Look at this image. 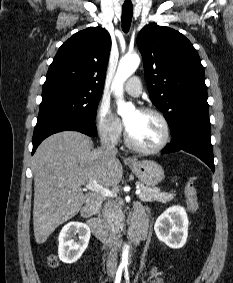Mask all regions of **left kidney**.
<instances>
[{"label":"left kidney","mask_w":233,"mask_h":283,"mask_svg":"<svg viewBox=\"0 0 233 283\" xmlns=\"http://www.w3.org/2000/svg\"><path fill=\"white\" fill-rule=\"evenodd\" d=\"M188 217L181 206H172L155 222L154 230L158 239L172 249L182 248L188 237Z\"/></svg>","instance_id":"1"}]
</instances>
